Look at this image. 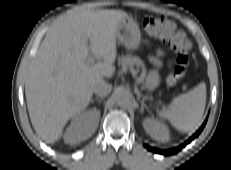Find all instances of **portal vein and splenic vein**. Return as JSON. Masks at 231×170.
Masks as SVG:
<instances>
[{
	"mask_svg": "<svg viewBox=\"0 0 231 170\" xmlns=\"http://www.w3.org/2000/svg\"><path fill=\"white\" fill-rule=\"evenodd\" d=\"M87 62H88L89 64L94 63V58H93V57H89V58L87 59ZM132 72L134 73V71H132Z\"/></svg>",
	"mask_w": 231,
	"mask_h": 170,
	"instance_id": "obj_1",
	"label": "portal vein and splenic vein"
}]
</instances>
